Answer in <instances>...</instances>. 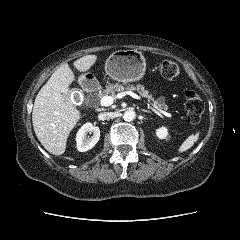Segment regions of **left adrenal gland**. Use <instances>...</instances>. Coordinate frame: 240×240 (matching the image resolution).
I'll return each mask as SVG.
<instances>
[{"mask_svg": "<svg viewBox=\"0 0 240 240\" xmlns=\"http://www.w3.org/2000/svg\"><path fill=\"white\" fill-rule=\"evenodd\" d=\"M143 112H147V113H151V111L146 110V109H142Z\"/></svg>", "mask_w": 240, "mask_h": 240, "instance_id": "1", "label": "left adrenal gland"}]
</instances>
